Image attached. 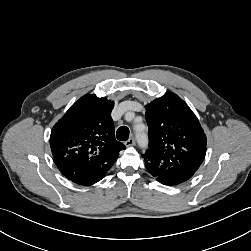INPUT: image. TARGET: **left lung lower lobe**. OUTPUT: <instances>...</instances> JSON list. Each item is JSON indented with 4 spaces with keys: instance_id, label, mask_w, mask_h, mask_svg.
Returning a JSON list of instances; mask_svg holds the SVG:
<instances>
[{
    "instance_id": "0a47b994",
    "label": "left lung lower lobe",
    "mask_w": 251,
    "mask_h": 251,
    "mask_svg": "<svg viewBox=\"0 0 251 251\" xmlns=\"http://www.w3.org/2000/svg\"><path fill=\"white\" fill-rule=\"evenodd\" d=\"M143 157L147 170L164 185H176L190 179L200 166L191 161L186 163L168 161L161 155L152 153H145Z\"/></svg>"
}]
</instances>
